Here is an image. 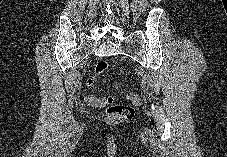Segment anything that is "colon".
<instances>
[{"label": "colon", "instance_id": "obj_1", "mask_svg": "<svg viewBox=\"0 0 227 157\" xmlns=\"http://www.w3.org/2000/svg\"><path fill=\"white\" fill-rule=\"evenodd\" d=\"M109 67V62L105 60L98 62L95 69V75L88 80V85H92L96 77L107 71ZM128 99L134 106L139 105L141 102L139 95L134 93L129 94ZM88 102L95 107L106 108V112L104 114V118L106 120H127L133 118L135 114V110L132 106L125 104H115L114 98L112 96L103 98L89 96Z\"/></svg>", "mask_w": 227, "mask_h": 157}]
</instances>
